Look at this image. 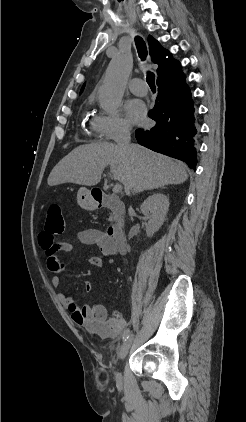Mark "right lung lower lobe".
Here are the masks:
<instances>
[{"label": "right lung lower lobe", "mask_w": 246, "mask_h": 422, "mask_svg": "<svg viewBox=\"0 0 246 422\" xmlns=\"http://www.w3.org/2000/svg\"><path fill=\"white\" fill-rule=\"evenodd\" d=\"M158 85L155 106L149 117L156 125L149 130L137 129L139 144L185 162L196 170L197 119L190 89L184 74Z\"/></svg>", "instance_id": "1"}]
</instances>
